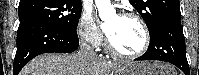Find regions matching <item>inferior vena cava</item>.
Masks as SVG:
<instances>
[{
	"label": "inferior vena cava",
	"instance_id": "1",
	"mask_svg": "<svg viewBox=\"0 0 199 75\" xmlns=\"http://www.w3.org/2000/svg\"><path fill=\"white\" fill-rule=\"evenodd\" d=\"M81 51L85 52L86 54L97 57L96 53L92 50L91 46H89L86 42L81 47Z\"/></svg>",
	"mask_w": 199,
	"mask_h": 75
}]
</instances>
